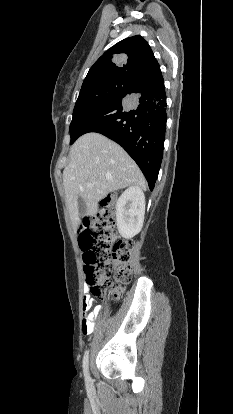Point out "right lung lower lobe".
I'll return each mask as SVG.
<instances>
[{
    "instance_id": "obj_1",
    "label": "right lung lower lobe",
    "mask_w": 233,
    "mask_h": 414,
    "mask_svg": "<svg viewBox=\"0 0 233 414\" xmlns=\"http://www.w3.org/2000/svg\"><path fill=\"white\" fill-rule=\"evenodd\" d=\"M128 91L98 108L80 125L78 136L97 132L121 145L135 160L152 191L164 148L166 94L161 71L132 81Z\"/></svg>"
}]
</instances>
